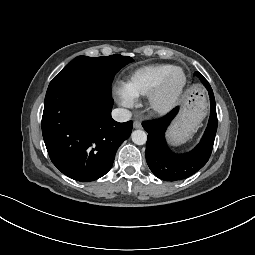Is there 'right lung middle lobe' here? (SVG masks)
Instances as JSON below:
<instances>
[{
    "label": "right lung middle lobe",
    "mask_w": 255,
    "mask_h": 255,
    "mask_svg": "<svg viewBox=\"0 0 255 255\" xmlns=\"http://www.w3.org/2000/svg\"><path fill=\"white\" fill-rule=\"evenodd\" d=\"M131 62H133L131 57L118 54L96 58L78 56L54 77L49 87L83 83L97 86L111 93V84L115 74Z\"/></svg>",
    "instance_id": "dd1d6c3e"
}]
</instances>
